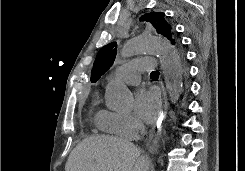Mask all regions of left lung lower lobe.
I'll use <instances>...</instances> for the list:
<instances>
[{
    "mask_svg": "<svg viewBox=\"0 0 245 171\" xmlns=\"http://www.w3.org/2000/svg\"><path fill=\"white\" fill-rule=\"evenodd\" d=\"M177 67H182V73H185V67H190L191 63L190 62H177L176 63Z\"/></svg>",
    "mask_w": 245,
    "mask_h": 171,
    "instance_id": "obj_1",
    "label": "left lung lower lobe"
}]
</instances>
